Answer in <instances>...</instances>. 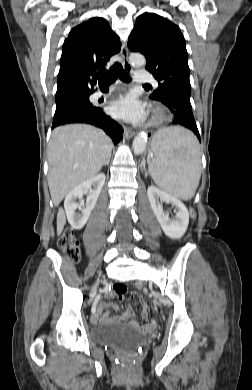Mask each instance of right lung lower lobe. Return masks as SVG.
<instances>
[{
	"label": "right lung lower lobe",
	"instance_id": "1",
	"mask_svg": "<svg viewBox=\"0 0 252 390\" xmlns=\"http://www.w3.org/2000/svg\"><path fill=\"white\" fill-rule=\"evenodd\" d=\"M68 123H86L103 129L114 144L122 139L123 128L102 109L87 100L69 101L56 106L52 129Z\"/></svg>",
	"mask_w": 252,
	"mask_h": 390
}]
</instances>
